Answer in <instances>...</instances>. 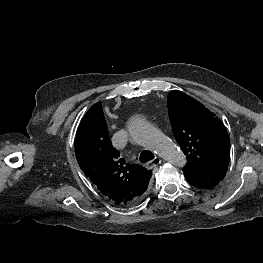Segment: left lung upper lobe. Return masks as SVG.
Listing matches in <instances>:
<instances>
[{
  "label": "left lung upper lobe",
  "mask_w": 263,
  "mask_h": 263,
  "mask_svg": "<svg viewBox=\"0 0 263 263\" xmlns=\"http://www.w3.org/2000/svg\"><path fill=\"white\" fill-rule=\"evenodd\" d=\"M167 102L174 137L187 156L184 168L227 170L230 143L222 121L181 91H171Z\"/></svg>",
  "instance_id": "1"
}]
</instances>
